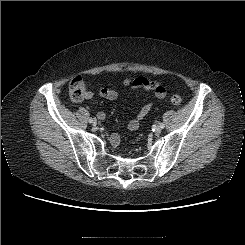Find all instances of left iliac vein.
Returning <instances> with one entry per match:
<instances>
[{
	"mask_svg": "<svg viewBox=\"0 0 245 245\" xmlns=\"http://www.w3.org/2000/svg\"><path fill=\"white\" fill-rule=\"evenodd\" d=\"M161 131H162V128H161L160 126H157V127L155 128V133H156V134L161 133Z\"/></svg>",
	"mask_w": 245,
	"mask_h": 245,
	"instance_id": "1",
	"label": "left iliac vein"
}]
</instances>
